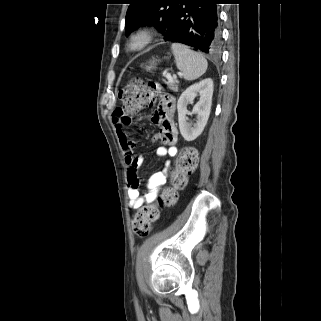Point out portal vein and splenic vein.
Segmentation results:
<instances>
[{
    "label": "portal vein and splenic vein",
    "mask_w": 321,
    "mask_h": 321,
    "mask_svg": "<svg viewBox=\"0 0 321 321\" xmlns=\"http://www.w3.org/2000/svg\"><path fill=\"white\" fill-rule=\"evenodd\" d=\"M178 75H181L180 73L178 74ZM166 78L168 79V80H172L173 78H172V76L169 74V73H166Z\"/></svg>",
    "instance_id": "18ae733b"
}]
</instances>
